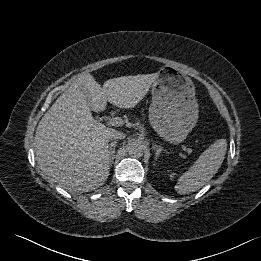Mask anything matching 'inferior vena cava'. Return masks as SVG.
I'll use <instances>...</instances> for the list:
<instances>
[{
    "label": "inferior vena cava",
    "mask_w": 261,
    "mask_h": 261,
    "mask_svg": "<svg viewBox=\"0 0 261 261\" xmlns=\"http://www.w3.org/2000/svg\"><path fill=\"white\" fill-rule=\"evenodd\" d=\"M125 137H126V135L123 132L117 131L115 129H113L109 133V138L112 139V140L124 139Z\"/></svg>",
    "instance_id": "inferior-vena-cava-1"
}]
</instances>
